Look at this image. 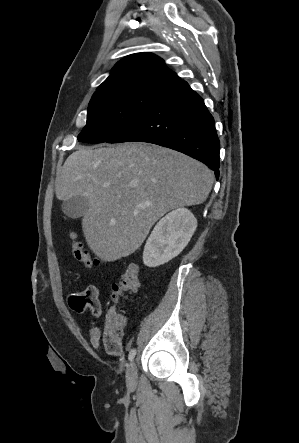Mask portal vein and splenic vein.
Here are the masks:
<instances>
[{
  "label": "portal vein and splenic vein",
  "instance_id": "1",
  "mask_svg": "<svg viewBox=\"0 0 299 443\" xmlns=\"http://www.w3.org/2000/svg\"><path fill=\"white\" fill-rule=\"evenodd\" d=\"M149 205H150V203H145V204L140 205L139 207H140V208H145V207H147V206H149Z\"/></svg>",
  "mask_w": 299,
  "mask_h": 443
}]
</instances>
